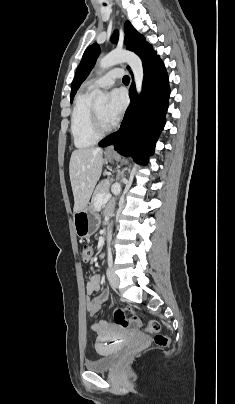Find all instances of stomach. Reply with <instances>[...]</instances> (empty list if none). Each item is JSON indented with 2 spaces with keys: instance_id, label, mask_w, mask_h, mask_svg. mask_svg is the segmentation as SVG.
Returning <instances> with one entry per match:
<instances>
[{
  "instance_id": "obj_1",
  "label": "stomach",
  "mask_w": 235,
  "mask_h": 404,
  "mask_svg": "<svg viewBox=\"0 0 235 404\" xmlns=\"http://www.w3.org/2000/svg\"><path fill=\"white\" fill-rule=\"evenodd\" d=\"M109 162L113 161L112 157H107ZM75 232L80 238L91 236L99 225V217L91 206L75 212L73 215Z\"/></svg>"
}]
</instances>
